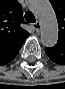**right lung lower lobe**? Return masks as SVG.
I'll return each instance as SVG.
<instances>
[{"mask_svg": "<svg viewBox=\"0 0 65 89\" xmlns=\"http://www.w3.org/2000/svg\"><path fill=\"white\" fill-rule=\"evenodd\" d=\"M19 50H20V48L18 50L14 51L13 53H10L9 55L0 54V65L7 64L10 61H12L15 58V56L17 55V53L19 52Z\"/></svg>", "mask_w": 65, "mask_h": 89, "instance_id": "right-lung-lower-lobe-1", "label": "right lung lower lobe"}]
</instances>
